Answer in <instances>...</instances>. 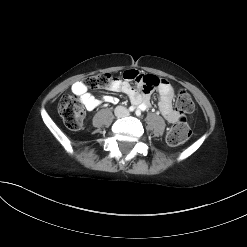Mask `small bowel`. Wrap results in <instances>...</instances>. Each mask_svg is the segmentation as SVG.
Here are the masks:
<instances>
[{"instance_id": "1", "label": "small bowel", "mask_w": 247, "mask_h": 247, "mask_svg": "<svg viewBox=\"0 0 247 247\" xmlns=\"http://www.w3.org/2000/svg\"><path fill=\"white\" fill-rule=\"evenodd\" d=\"M147 77L155 78L157 80L156 86L151 87L146 81ZM131 83H136V86H132ZM104 86L113 92L125 94L131 103L143 110L149 106L150 94L153 89H156L159 94L158 105L163 117L172 124L176 123L179 119V115L173 109L172 105L174 89L165 79H159L153 75L141 74L136 70L125 69L123 72L110 74L105 79ZM71 90L89 111L96 109L102 103L117 102V98L111 95H105L100 98L95 97L88 92L86 85L81 81L75 82Z\"/></svg>"}]
</instances>
